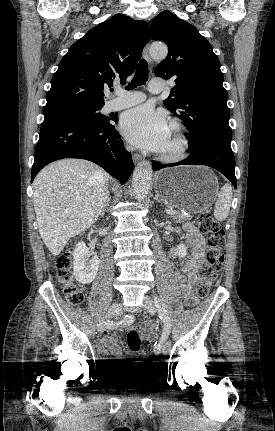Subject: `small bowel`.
I'll use <instances>...</instances> for the list:
<instances>
[{
    "instance_id": "1",
    "label": "small bowel",
    "mask_w": 275,
    "mask_h": 431,
    "mask_svg": "<svg viewBox=\"0 0 275 431\" xmlns=\"http://www.w3.org/2000/svg\"><path fill=\"white\" fill-rule=\"evenodd\" d=\"M186 243L191 248V256L181 262L175 271V276L180 284L181 297L187 306L195 305L197 298L193 294V287L196 276L204 263L205 240L197 227L191 223L184 225ZM171 257L177 256V248H172L169 252ZM141 337L144 341L153 342L156 339V332L152 322H145L140 326ZM98 350L101 354L110 352L115 356L121 355L118 345V338L115 334L104 333L98 343Z\"/></svg>"
}]
</instances>
